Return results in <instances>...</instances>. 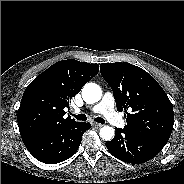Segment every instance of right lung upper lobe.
I'll return each mask as SVG.
<instances>
[{"label":"right lung upper lobe","mask_w":184,"mask_h":184,"mask_svg":"<svg viewBox=\"0 0 184 184\" xmlns=\"http://www.w3.org/2000/svg\"><path fill=\"white\" fill-rule=\"evenodd\" d=\"M99 71L98 64L62 60L38 75L26 88L18 110V127L22 140L74 122L64 117L72 97Z\"/></svg>","instance_id":"obj_1"}]
</instances>
